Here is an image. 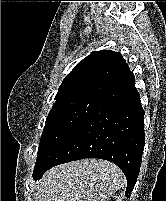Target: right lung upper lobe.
<instances>
[{
	"label": "right lung upper lobe",
	"instance_id": "obj_1",
	"mask_svg": "<svg viewBox=\"0 0 166 201\" xmlns=\"http://www.w3.org/2000/svg\"><path fill=\"white\" fill-rule=\"evenodd\" d=\"M123 57L114 51H95L80 61L68 74L55 97L60 103L83 96H106L129 74Z\"/></svg>",
	"mask_w": 166,
	"mask_h": 201
}]
</instances>
